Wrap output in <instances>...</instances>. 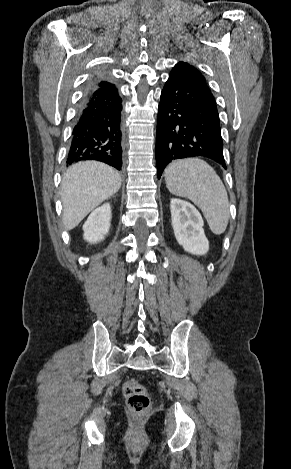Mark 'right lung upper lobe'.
I'll use <instances>...</instances> for the list:
<instances>
[{
	"label": "right lung upper lobe",
	"mask_w": 291,
	"mask_h": 469,
	"mask_svg": "<svg viewBox=\"0 0 291 469\" xmlns=\"http://www.w3.org/2000/svg\"><path fill=\"white\" fill-rule=\"evenodd\" d=\"M95 86H96V87H107V86H113V84L107 82L106 80L97 78V79H96Z\"/></svg>",
	"instance_id": "obj_1"
}]
</instances>
